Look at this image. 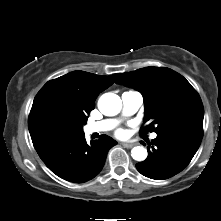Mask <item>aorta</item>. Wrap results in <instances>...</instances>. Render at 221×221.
Masks as SVG:
<instances>
[{"label":"aorta","instance_id":"obj_1","mask_svg":"<svg viewBox=\"0 0 221 221\" xmlns=\"http://www.w3.org/2000/svg\"><path fill=\"white\" fill-rule=\"evenodd\" d=\"M98 108L102 114L114 116L120 112L122 101L114 93H105L99 98ZM131 156L136 161H144L147 158V150L143 146H136L131 150Z\"/></svg>","mask_w":221,"mask_h":221}]
</instances>
